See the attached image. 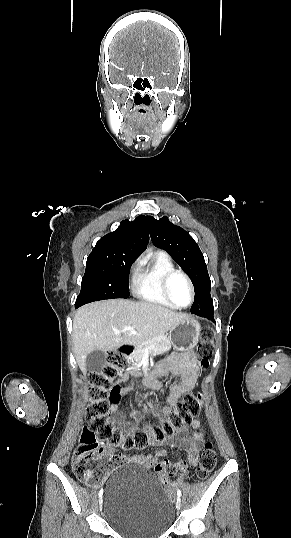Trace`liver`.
<instances>
[{
    "label": "liver",
    "instance_id": "1",
    "mask_svg": "<svg viewBox=\"0 0 291 538\" xmlns=\"http://www.w3.org/2000/svg\"><path fill=\"white\" fill-rule=\"evenodd\" d=\"M190 318L150 302L112 299L79 308L73 320L74 354L86 374V357L93 351H116L123 345H138L161 336ZM125 326L133 331L121 333Z\"/></svg>",
    "mask_w": 291,
    "mask_h": 538
}]
</instances>
